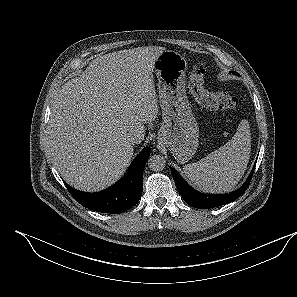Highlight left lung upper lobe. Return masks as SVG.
Wrapping results in <instances>:
<instances>
[{
  "instance_id": "1",
  "label": "left lung upper lobe",
  "mask_w": 297,
  "mask_h": 297,
  "mask_svg": "<svg viewBox=\"0 0 297 297\" xmlns=\"http://www.w3.org/2000/svg\"><path fill=\"white\" fill-rule=\"evenodd\" d=\"M234 74H236V75H238V73L237 72H233Z\"/></svg>"
}]
</instances>
